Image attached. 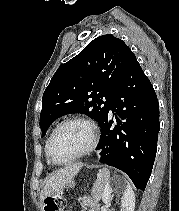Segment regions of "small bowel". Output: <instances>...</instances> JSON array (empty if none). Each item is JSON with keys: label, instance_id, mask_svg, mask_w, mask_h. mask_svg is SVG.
<instances>
[{"label": "small bowel", "instance_id": "1", "mask_svg": "<svg viewBox=\"0 0 179 211\" xmlns=\"http://www.w3.org/2000/svg\"><path fill=\"white\" fill-rule=\"evenodd\" d=\"M81 203L89 208V211H100L99 210V206L97 203L93 202L91 199L89 198H83L81 199Z\"/></svg>", "mask_w": 179, "mask_h": 211}]
</instances>
